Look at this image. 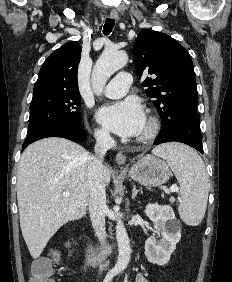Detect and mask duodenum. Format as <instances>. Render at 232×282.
Wrapping results in <instances>:
<instances>
[{
    "instance_id": "duodenum-1",
    "label": "duodenum",
    "mask_w": 232,
    "mask_h": 282,
    "mask_svg": "<svg viewBox=\"0 0 232 282\" xmlns=\"http://www.w3.org/2000/svg\"><path fill=\"white\" fill-rule=\"evenodd\" d=\"M112 247L106 246L101 250L95 251L90 245L85 244L83 248L84 256L89 264L96 265L104 261L111 253Z\"/></svg>"
}]
</instances>
